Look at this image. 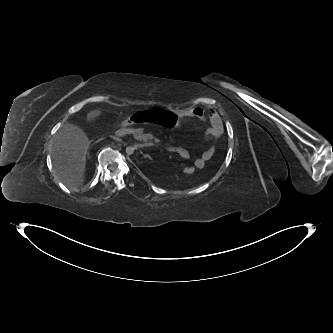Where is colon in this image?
<instances>
[{
  "mask_svg": "<svg viewBox=\"0 0 333 333\" xmlns=\"http://www.w3.org/2000/svg\"><path fill=\"white\" fill-rule=\"evenodd\" d=\"M123 122L125 126L132 128L144 122L148 124H160L163 128H174L178 124V117L175 113L164 109H148L144 112L137 110L125 115ZM184 174H194V167H182Z\"/></svg>",
  "mask_w": 333,
  "mask_h": 333,
  "instance_id": "colon-1",
  "label": "colon"
}]
</instances>
